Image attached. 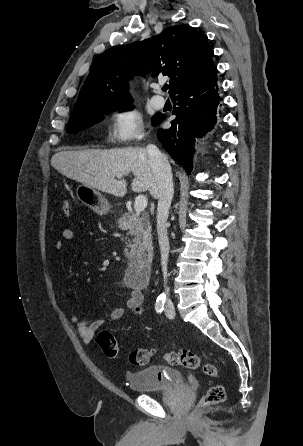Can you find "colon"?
Masks as SVG:
<instances>
[{"mask_svg":"<svg viewBox=\"0 0 303 446\" xmlns=\"http://www.w3.org/2000/svg\"><path fill=\"white\" fill-rule=\"evenodd\" d=\"M62 210L66 216L70 215V204L63 201ZM97 343L103 353L111 358H117L119 354V346L113 334L103 331L97 337ZM155 351L149 349H137L130 353L129 361L136 366L147 365L154 357ZM167 363L173 366H182L187 369H201L203 373L211 378H219L217 367L209 362H204L201 358L190 350L181 349L178 351L168 352L164 355ZM225 389L223 385L216 384L209 388L206 394L200 399L198 407L204 408L217 405L225 400Z\"/></svg>","mask_w":303,"mask_h":446,"instance_id":"1","label":"colon"}]
</instances>
